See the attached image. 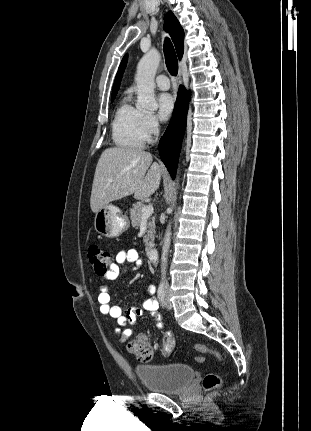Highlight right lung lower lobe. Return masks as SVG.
Returning a JSON list of instances; mask_svg holds the SVG:
<instances>
[{"label": "right lung lower lobe", "instance_id": "obj_1", "mask_svg": "<svg viewBox=\"0 0 311 431\" xmlns=\"http://www.w3.org/2000/svg\"><path fill=\"white\" fill-rule=\"evenodd\" d=\"M188 101L189 94L180 86L171 122L159 143L160 157L173 179L186 125Z\"/></svg>", "mask_w": 311, "mask_h": 431}]
</instances>
